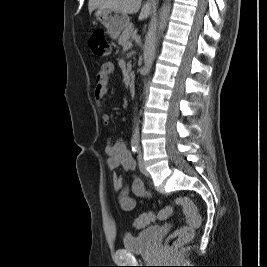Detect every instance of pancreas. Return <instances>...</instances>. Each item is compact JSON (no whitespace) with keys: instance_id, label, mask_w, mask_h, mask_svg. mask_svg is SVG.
Listing matches in <instances>:
<instances>
[{"instance_id":"obj_1","label":"pancreas","mask_w":267,"mask_h":267,"mask_svg":"<svg viewBox=\"0 0 267 267\" xmlns=\"http://www.w3.org/2000/svg\"><path fill=\"white\" fill-rule=\"evenodd\" d=\"M134 34V26L132 25V23H129L125 29L123 30L118 42L120 45H127V43L129 42V39L131 38V36Z\"/></svg>"}]
</instances>
